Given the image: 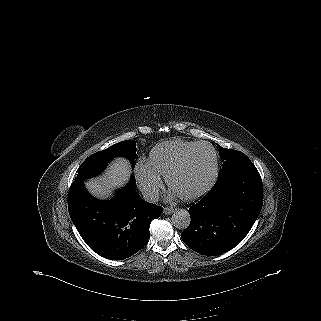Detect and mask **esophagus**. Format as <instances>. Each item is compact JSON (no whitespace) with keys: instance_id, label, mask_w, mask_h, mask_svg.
I'll return each mask as SVG.
<instances>
[{"instance_id":"34e87169","label":"esophagus","mask_w":321,"mask_h":321,"mask_svg":"<svg viewBox=\"0 0 321 321\" xmlns=\"http://www.w3.org/2000/svg\"><path fill=\"white\" fill-rule=\"evenodd\" d=\"M174 211H175V208L165 207L164 210H163V213H164L165 215H170V214H172Z\"/></svg>"}]
</instances>
